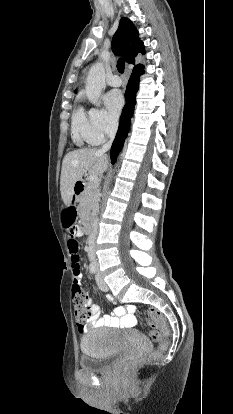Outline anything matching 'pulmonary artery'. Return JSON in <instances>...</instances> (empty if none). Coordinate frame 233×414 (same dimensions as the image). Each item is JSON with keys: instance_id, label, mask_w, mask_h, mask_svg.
<instances>
[{"instance_id": "obj_1", "label": "pulmonary artery", "mask_w": 233, "mask_h": 414, "mask_svg": "<svg viewBox=\"0 0 233 414\" xmlns=\"http://www.w3.org/2000/svg\"><path fill=\"white\" fill-rule=\"evenodd\" d=\"M108 84L112 87H118L122 84V79L118 75H113L109 78Z\"/></svg>"}]
</instances>
